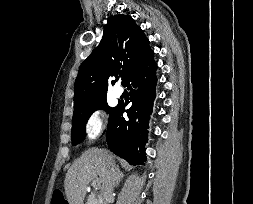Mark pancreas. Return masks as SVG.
Segmentation results:
<instances>
[{
    "instance_id": "pancreas-1",
    "label": "pancreas",
    "mask_w": 253,
    "mask_h": 204,
    "mask_svg": "<svg viewBox=\"0 0 253 204\" xmlns=\"http://www.w3.org/2000/svg\"><path fill=\"white\" fill-rule=\"evenodd\" d=\"M86 204H101L99 198L97 195H95L94 193H92L89 198H88V201Z\"/></svg>"
}]
</instances>
